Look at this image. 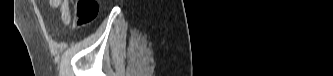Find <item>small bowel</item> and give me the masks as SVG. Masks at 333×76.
<instances>
[{
  "label": "small bowel",
  "instance_id": "small-bowel-1",
  "mask_svg": "<svg viewBox=\"0 0 333 76\" xmlns=\"http://www.w3.org/2000/svg\"><path fill=\"white\" fill-rule=\"evenodd\" d=\"M49 5L58 8L61 14V20L64 24H69L71 21L70 7L68 0H49Z\"/></svg>",
  "mask_w": 333,
  "mask_h": 76
}]
</instances>
